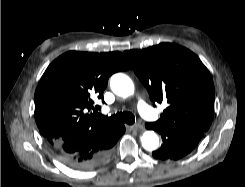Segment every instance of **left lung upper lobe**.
<instances>
[{
    "instance_id": "5c2ea615",
    "label": "left lung upper lobe",
    "mask_w": 245,
    "mask_h": 187,
    "mask_svg": "<svg viewBox=\"0 0 245 187\" xmlns=\"http://www.w3.org/2000/svg\"><path fill=\"white\" fill-rule=\"evenodd\" d=\"M153 102L168 107L155 122L169 129L207 131L214 114V84L208 69L190 50L161 43L124 52Z\"/></svg>"
}]
</instances>
